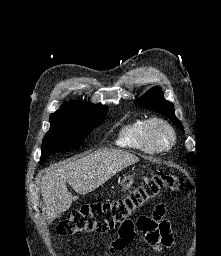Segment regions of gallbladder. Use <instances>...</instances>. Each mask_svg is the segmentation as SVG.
<instances>
[{
	"label": "gallbladder",
	"mask_w": 221,
	"mask_h": 256,
	"mask_svg": "<svg viewBox=\"0 0 221 256\" xmlns=\"http://www.w3.org/2000/svg\"><path fill=\"white\" fill-rule=\"evenodd\" d=\"M54 220V218H50L48 221L49 223H51Z\"/></svg>",
	"instance_id": "gallbladder-1"
}]
</instances>
